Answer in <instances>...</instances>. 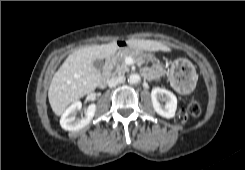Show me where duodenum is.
Returning <instances> with one entry per match:
<instances>
[{
  "label": "duodenum",
  "mask_w": 245,
  "mask_h": 170,
  "mask_svg": "<svg viewBox=\"0 0 245 170\" xmlns=\"http://www.w3.org/2000/svg\"><path fill=\"white\" fill-rule=\"evenodd\" d=\"M128 47V43L126 41H117L113 45V50L112 52L107 56L106 61H105V66L103 69L102 73V78H101V87H106L108 81L111 79L112 74H113V62H114V57L116 53L121 50Z\"/></svg>",
  "instance_id": "obj_1"
}]
</instances>
